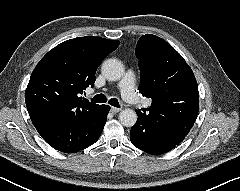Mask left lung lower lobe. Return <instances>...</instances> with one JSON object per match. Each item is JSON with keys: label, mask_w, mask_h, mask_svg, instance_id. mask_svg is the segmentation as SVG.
I'll list each match as a JSON object with an SVG mask.
<instances>
[{"label": "left lung lower lobe", "mask_w": 240, "mask_h": 191, "mask_svg": "<svg viewBox=\"0 0 240 191\" xmlns=\"http://www.w3.org/2000/svg\"><path fill=\"white\" fill-rule=\"evenodd\" d=\"M137 111V123L131 128L130 140L134 146L150 154H163L181 143L195 120H156L148 109Z\"/></svg>", "instance_id": "left-lung-lower-lobe-1"}]
</instances>
